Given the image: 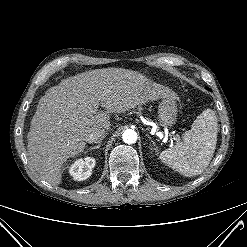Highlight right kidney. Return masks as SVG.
<instances>
[{
    "instance_id": "1",
    "label": "right kidney",
    "mask_w": 247,
    "mask_h": 247,
    "mask_svg": "<svg viewBox=\"0 0 247 247\" xmlns=\"http://www.w3.org/2000/svg\"><path fill=\"white\" fill-rule=\"evenodd\" d=\"M95 166V158L85 157L77 159L70 167L69 173L74 180L82 181L91 176L92 169Z\"/></svg>"
}]
</instances>
